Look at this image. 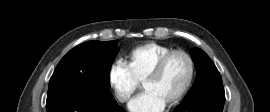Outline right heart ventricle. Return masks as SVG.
<instances>
[{
    "mask_svg": "<svg viewBox=\"0 0 270 112\" xmlns=\"http://www.w3.org/2000/svg\"><path fill=\"white\" fill-rule=\"evenodd\" d=\"M173 49L158 43H147L132 49L125 56V65L134 78L143 83L157 61Z\"/></svg>",
    "mask_w": 270,
    "mask_h": 112,
    "instance_id": "1",
    "label": "right heart ventricle"
}]
</instances>
